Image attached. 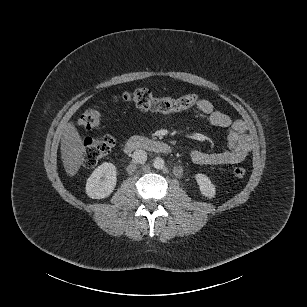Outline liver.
<instances>
[{"mask_svg":"<svg viewBox=\"0 0 307 307\" xmlns=\"http://www.w3.org/2000/svg\"><path fill=\"white\" fill-rule=\"evenodd\" d=\"M62 126L61 158L66 174L73 178L82 164L86 147L76 125L72 121Z\"/></svg>","mask_w":307,"mask_h":307,"instance_id":"1","label":"liver"}]
</instances>
